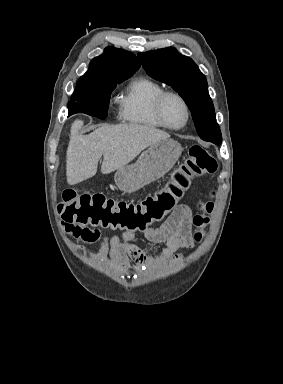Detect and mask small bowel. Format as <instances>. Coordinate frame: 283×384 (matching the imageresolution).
Here are the masks:
<instances>
[{
	"label": "small bowel",
	"mask_w": 283,
	"mask_h": 384,
	"mask_svg": "<svg viewBox=\"0 0 283 384\" xmlns=\"http://www.w3.org/2000/svg\"><path fill=\"white\" fill-rule=\"evenodd\" d=\"M66 232L87 243L101 241L100 253L102 256L111 255L112 260L124 272L129 270L132 261L137 267L144 265L178 261L183 249L193 247L192 240V213L186 205H178L166 221L159 227H150L144 232L145 238L154 244H165L166 247L158 256H152L133 244L135 233L125 231L122 237L117 235L101 237L97 229L82 226H66ZM80 250H83L79 246Z\"/></svg>",
	"instance_id": "c3829d8e"
}]
</instances>
